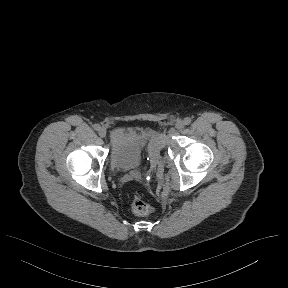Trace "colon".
<instances>
[{"label":"colon","instance_id":"5ec220e1","mask_svg":"<svg viewBox=\"0 0 288 288\" xmlns=\"http://www.w3.org/2000/svg\"><path fill=\"white\" fill-rule=\"evenodd\" d=\"M130 205L132 211L137 215H147L152 211V206L143 200L139 195H134Z\"/></svg>","mask_w":288,"mask_h":288}]
</instances>
